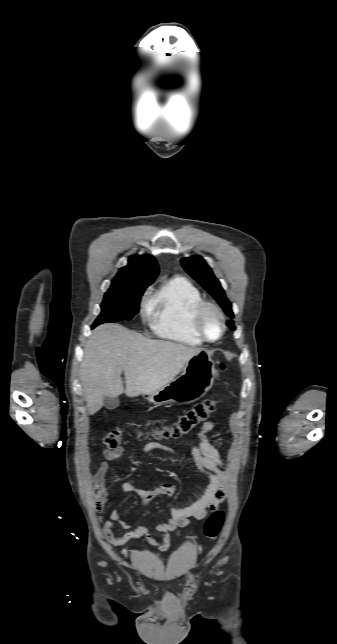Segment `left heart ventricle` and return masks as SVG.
<instances>
[{
    "label": "left heart ventricle",
    "mask_w": 337,
    "mask_h": 644,
    "mask_svg": "<svg viewBox=\"0 0 337 644\" xmlns=\"http://www.w3.org/2000/svg\"><path fill=\"white\" fill-rule=\"evenodd\" d=\"M203 330L210 339L218 337L220 332V323L218 316L213 311H208L203 319Z\"/></svg>",
    "instance_id": "obj_1"
}]
</instances>
